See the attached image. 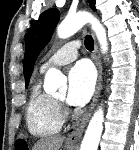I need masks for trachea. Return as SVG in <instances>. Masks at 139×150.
<instances>
[{
  "instance_id": "3493384b",
  "label": "trachea",
  "mask_w": 139,
  "mask_h": 150,
  "mask_svg": "<svg viewBox=\"0 0 139 150\" xmlns=\"http://www.w3.org/2000/svg\"><path fill=\"white\" fill-rule=\"evenodd\" d=\"M85 47L89 50L92 51L94 49V41L91 36H86L84 40Z\"/></svg>"
}]
</instances>
